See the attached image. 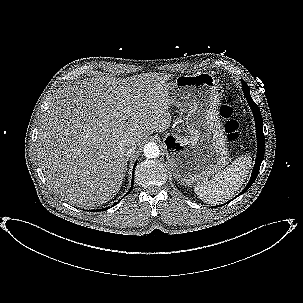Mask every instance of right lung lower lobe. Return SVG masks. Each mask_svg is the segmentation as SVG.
<instances>
[{"instance_id":"98d812e1","label":"right lung lower lobe","mask_w":303,"mask_h":303,"mask_svg":"<svg viewBox=\"0 0 303 303\" xmlns=\"http://www.w3.org/2000/svg\"><path fill=\"white\" fill-rule=\"evenodd\" d=\"M136 164H137V162L135 163V165H134V168H133V178H132V182H131V188H130V190L128 191V193L132 190V188H133V184H134V169H135V166H136ZM127 193V194H128ZM126 194V195H127ZM114 206V205H113ZM108 208H104V209H102V210H107ZM97 211V210H96ZM99 211V210H98Z\"/></svg>"}]
</instances>
